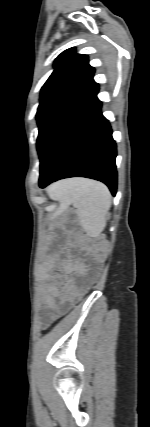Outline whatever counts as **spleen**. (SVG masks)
<instances>
[{
    "mask_svg": "<svg viewBox=\"0 0 150 427\" xmlns=\"http://www.w3.org/2000/svg\"><path fill=\"white\" fill-rule=\"evenodd\" d=\"M51 198L72 204L87 235L98 236L106 226L111 194L102 183L89 179H71L50 188Z\"/></svg>",
    "mask_w": 150,
    "mask_h": 427,
    "instance_id": "3e777b00",
    "label": "spleen"
}]
</instances>
